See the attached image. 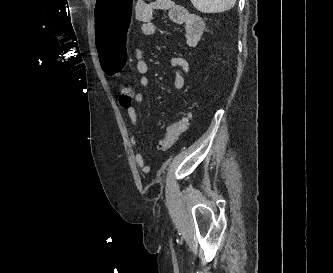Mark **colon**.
Returning <instances> with one entry per match:
<instances>
[{
  "mask_svg": "<svg viewBox=\"0 0 333 273\" xmlns=\"http://www.w3.org/2000/svg\"><path fill=\"white\" fill-rule=\"evenodd\" d=\"M134 98L133 89L128 84H122L119 87V104L123 108H129L132 105ZM189 115L186 114L181 119L171 123L160 139L158 144V149L161 151H167L170 149L175 142L178 140L179 136L186 129L188 124Z\"/></svg>",
  "mask_w": 333,
  "mask_h": 273,
  "instance_id": "5ec220e1",
  "label": "colon"
}]
</instances>
